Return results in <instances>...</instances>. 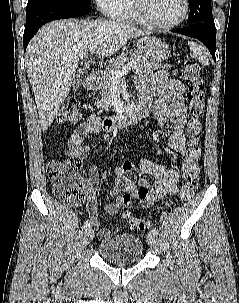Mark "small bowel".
I'll list each match as a JSON object with an SVG mask.
<instances>
[{
	"label": "small bowel",
	"instance_id": "1",
	"mask_svg": "<svg viewBox=\"0 0 239 303\" xmlns=\"http://www.w3.org/2000/svg\"><path fill=\"white\" fill-rule=\"evenodd\" d=\"M138 88L142 104L154 111L160 125L171 127L172 133L168 139L169 148L178 154H183L186 150L185 112L182 101L184 85L178 80L170 79L163 73H157L150 79L140 78ZM89 134L101 135L103 141H109L110 139V136L102 131L100 118L92 116L70 136L66 155L83 162L91 152V148L84 144V140ZM131 172H137V182L128 177ZM88 173L87 187L90 194L86 203V210L99 238L103 241H109L119 234L122 228L119 226L112 229L100 227L98 203L95 195L100 174L95 165L89 167ZM115 174L116 182L110 190V195L116 197V199L104 207L105 212L110 215L117 214L120 211L122 201L118 195L123 190L137 198L143 207H151L165 195H175L179 190L177 170L154 163L145 156L141 158L138 165L130 161L124 162L115 169ZM144 174L151 175L154 181L150 182L142 177Z\"/></svg>",
	"mask_w": 239,
	"mask_h": 303
}]
</instances>
